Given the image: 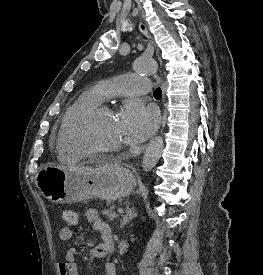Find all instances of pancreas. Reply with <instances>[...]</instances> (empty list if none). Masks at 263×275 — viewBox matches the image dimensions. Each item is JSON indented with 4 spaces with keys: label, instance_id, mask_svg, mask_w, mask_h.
I'll list each match as a JSON object with an SVG mask.
<instances>
[{
    "label": "pancreas",
    "instance_id": "1",
    "mask_svg": "<svg viewBox=\"0 0 263 275\" xmlns=\"http://www.w3.org/2000/svg\"><path fill=\"white\" fill-rule=\"evenodd\" d=\"M103 214L105 216H107L110 220H113L114 218H117V216H118L113 207H111L107 210H104Z\"/></svg>",
    "mask_w": 263,
    "mask_h": 275
}]
</instances>
